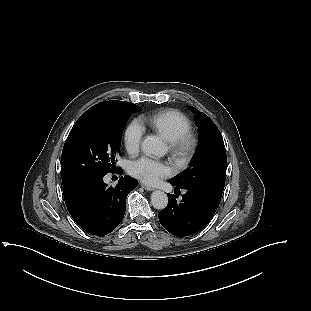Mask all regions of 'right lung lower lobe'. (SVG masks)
I'll use <instances>...</instances> for the list:
<instances>
[{
  "instance_id": "98d812e1",
  "label": "right lung lower lobe",
  "mask_w": 311,
  "mask_h": 311,
  "mask_svg": "<svg viewBox=\"0 0 311 311\" xmlns=\"http://www.w3.org/2000/svg\"><path fill=\"white\" fill-rule=\"evenodd\" d=\"M136 186L137 181L128 175L120 177L115 187L107 186L103 177H95L77 182L63 193L75 222L83 230L100 236L109 234L123 220L126 197Z\"/></svg>"
}]
</instances>
